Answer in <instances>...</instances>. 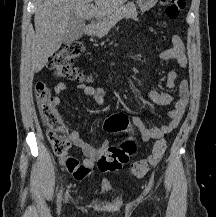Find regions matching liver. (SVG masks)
<instances>
[{
    "mask_svg": "<svg viewBox=\"0 0 216 217\" xmlns=\"http://www.w3.org/2000/svg\"><path fill=\"white\" fill-rule=\"evenodd\" d=\"M127 0H35V47L32 54L33 69L39 72L48 58L59 50L71 16L80 21L93 17L103 18L116 11Z\"/></svg>",
    "mask_w": 216,
    "mask_h": 217,
    "instance_id": "6515ba94",
    "label": "liver"
}]
</instances>
